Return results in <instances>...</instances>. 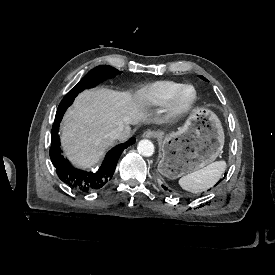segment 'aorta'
<instances>
[{
  "label": "aorta",
  "mask_w": 275,
  "mask_h": 275,
  "mask_svg": "<svg viewBox=\"0 0 275 275\" xmlns=\"http://www.w3.org/2000/svg\"><path fill=\"white\" fill-rule=\"evenodd\" d=\"M138 152L144 157H151L155 153L154 144L150 140H141L138 143Z\"/></svg>",
  "instance_id": "aorta-1"
}]
</instances>
